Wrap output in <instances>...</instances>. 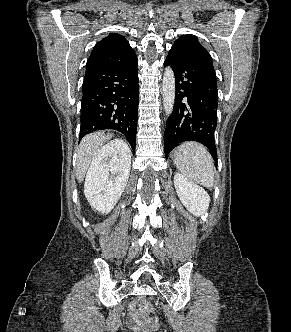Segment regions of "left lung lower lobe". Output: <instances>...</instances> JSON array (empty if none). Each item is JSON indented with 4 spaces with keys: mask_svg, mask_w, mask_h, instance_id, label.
I'll return each instance as SVG.
<instances>
[{
    "mask_svg": "<svg viewBox=\"0 0 291 332\" xmlns=\"http://www.w3.org/2000/svg\"><path fill=\"white\" fill-rule=\"evenodd\" d=\"M164 66L172 68L176 82L173 112L164 132L165 156L181 142L196 141L209 149L217 163L214 132L218 91L210 55L183 53L171 48Z\"/></svg>",
    "mask_w": 291,
    "mask_h": 332,
    "instance_id": "1",
    "label": "left lung lower lobe"
}]
</instances>
